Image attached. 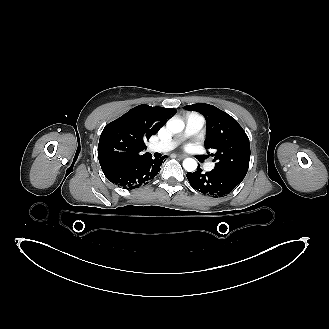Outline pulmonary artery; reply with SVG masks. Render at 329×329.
Segmentation results:
<instances>
[{
	"label": "pulmonary artery",
	"mask_w": 329,
	"mask_h": 329,
	"mask_svg": "<svg viewBox=\"0 0 329 329\" xmlns=\"http://www.w3.org/2000/svg\"><path fill=\"white\" fill-rule=\"evenodd\" d=\"M205 124V119L202 115L198 113H192L188 116L186 120V127L184 133L181 137L177 139L165 140L154 143L151 146L152 151L155 152H167L174 149L178 143L186 137L196 135ZM214 168L213 163H208L206 165V170L211 171Z\"/></svg>",
	"instance_id": "e3ab8cb5"
}]
</instances>
